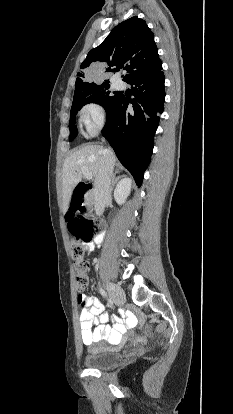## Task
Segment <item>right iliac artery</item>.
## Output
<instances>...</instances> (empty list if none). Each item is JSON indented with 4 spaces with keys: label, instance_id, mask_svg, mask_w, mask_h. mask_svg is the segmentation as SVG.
I'll use <instances>...</instances> for the list:
<instances>
[{
    "label": "right iliac artery",
    "instance_id": "82829eb1",
    "mask_svg": "<svg viewBox=\"0 0 233 414\" xmlns=\"http://www.w3.org/2000/svg\"><path fill=\"white\" fill-rule=\"evenodd\" d=\"M99 292H100V294L104 297V298H107V293L105 292V290H103L102 288H100L99 289ZM110 301V303H111V305H112V301L111 300H109Z\"/></svg>",
    "mask_w": 233,
    "mask_h": 414
}]
</instances>
